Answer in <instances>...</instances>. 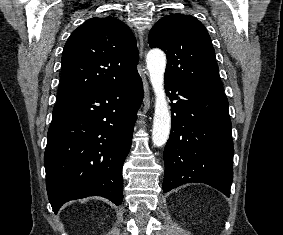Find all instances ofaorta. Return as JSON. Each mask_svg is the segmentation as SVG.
<instances>
[{
	"mask_svg": "<svg viewBox=\"0 0 283 235\" xmlns=\"http://www.w3.org/2000/svg\"><path fill=\"white\" fill-rule=\"evenodd\" d=\"M150 82L155 94L152 141L154 146H163L170 134L171 115L164 90L166 56L160 49H152L146 56Z\"/></svg>",
	"mask_w": 283,
	"mask_h": 235,
	"instance_id": "762f6f07",
	"label": "aorta"
}]
</instances>
